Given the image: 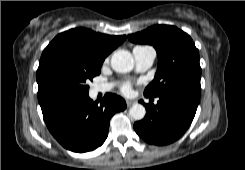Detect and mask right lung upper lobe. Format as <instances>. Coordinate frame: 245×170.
I'll use <instances>...</instances> for the list:
<instances>
[{
  "label": "right lung upper lobe",
  "mask_w": 245,
  "mask_h": 170,
  "mask_svg": "<svg viewBox=\"0 0 245 170\" xmlns=\"http://www.w3.org/2000/svg\"><path fill=\"white\" fill-rule=\"evenodd\" d=\"M126 36H110L86 28H75L58 34L44 49L40 63L60 58L86 66H100Z\"/></svg>",
  "instance_id": "obj_1"
}]
</instances>
